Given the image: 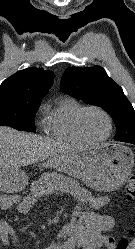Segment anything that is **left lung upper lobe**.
Returning <instances> with one entry per match:
<instances>
[{"mask_svg": "<svg viewBox=\"0 0 135 249\" xmlns=\"http://www.w3.org/2000/svg\"><path fill=\"white\" fill-rule=\"evenodd\" d=\"M61 88L63 92L108 112L116 125V141H135V111L122 88L101 66L66 69Z\"/></svg>", "mask_w": 135, "mask_h": 249, "instance_id": "obj_1", "label": "left lung upper lobe"}]
</instances>
